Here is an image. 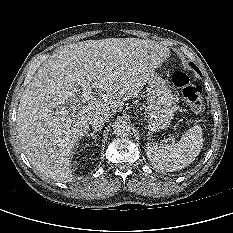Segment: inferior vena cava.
<instances>
[{
  "mask_svg": "<svg viewBox=\"0 0 233 233\" xmlns=\"http://www.w3.org/2000/svg\"><path fill=\"white\" fill-rule=\"evenodd\" d=\"M107 119L108 118L104 114L96 112L90 115L88 121L89 124L96 129L98 127H102Z\"/></svg>",
  "mask_w": 233,
  "mask_h": 233,
  "instance_id": "obj_1",
  "label": "inferior vena cava"
}]
</instances>
